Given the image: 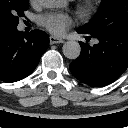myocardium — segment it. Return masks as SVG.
Listing matches in <instances>:
<instances>
[{
  "instance_id": "obj_1",
  "label": "myocardium",
  "mask_w": 128,
  "mask_h": 128,
  "mask_svg": "<svg viewBox=\"0 0 128 128\" xmlns=\"http://www.w3.org/2000/svg\"><path fill=\"white\" fill-rule=\"evenodd\" d=\"M101 7V0H80L77 5V12L83 19L94 17Z\"/></svg>"
}]
</instances>
